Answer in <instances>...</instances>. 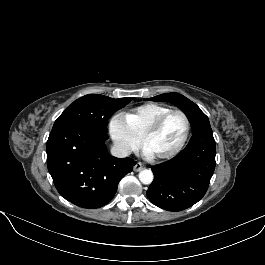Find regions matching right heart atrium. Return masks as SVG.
<instances>
[{
  "label": "right heart atrium",
  "instance_id": "right-heart-atrium-1",
  "mask_svg": "<svg viewBox=\"0 0 265 265\" xmlns=\"http://www.w3.org/2000/svg\"><path fill=\"white\" fill-rule=\"evenodd\" d=\"M108 129L116 149L120 153L129 154L138 147L140 137L129 128L122 116L113 115L109 119Z\"/></svg>",
  "mask_w": 265,
  "mask_h": 265
}]
</instances>
